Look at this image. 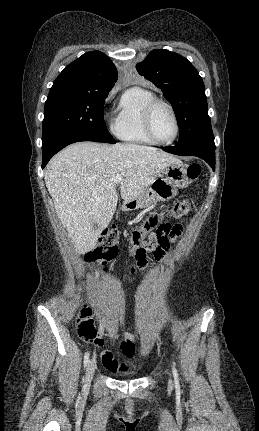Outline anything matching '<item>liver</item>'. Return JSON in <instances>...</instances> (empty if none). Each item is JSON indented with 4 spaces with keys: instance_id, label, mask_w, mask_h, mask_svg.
Masks as SVG:
<instances>
[{
    "instance_id": "obj_1",
    "label": "liver",
    "mask_w": 259,
    "mask_h": 431,
    "mask_svg": "<svg viewBox=\"0 0 259 431\" xmlns=\"http://www.w3.org/2000/svg\"><path fill=\"white\" fill-rule=\"evenodd\" d=\"M180 162L153 147L122 143L79 142L55 155L46 166L45 184L76 252L95 248L101 230L111 222L118 201L117 183L112 181L117 174L123 176L120 194L127 203L166 167Z\"/></svg>"
}]
</instances>
